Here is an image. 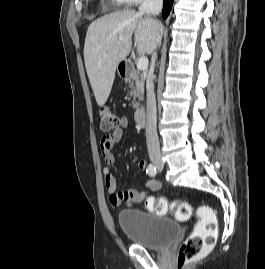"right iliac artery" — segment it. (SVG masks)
<instances>
[{
  "label": "right iliac artery",
  "instance_id": "1",
  "mask_svg": "<svg viewBox=\"0 0 265 269\" xmlns=\"http://www.w3.org/2000/svg\"><path fill=\"white\" fill-rule=\"evenodd\" d=\"M147 174L150 175L151 177H155L156 174H157V171H156V167L152 164H150L148 167H147V170H146Z\"/></svg>",
  "mask_w": 265,
  "mask_h": 269
}]
</instances>
